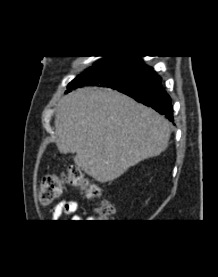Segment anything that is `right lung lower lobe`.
Segmentation results:
<instances>
[{
    "instance_id": "obj_1",
    "label": "right lung lower lobe",
    "mask_w": 218,
    "mask_h": 277,
    "mask_svg": "<svg viewBox=\"0 0 218 277\" xmlns=\"http://www.w3.org/2000/svg\"><path fill=\"white\" fill-rule=\"evenodd\" d=\"M101 85L100 78L96 73L85 75L78 83V87L84 85ZM135 100L150 106L157 112L163 114L170 121H173V108L171 99L162 88L161 78L151 69L137 81L124 86L115 88Z\"/></svg>"
}]
</instances>
